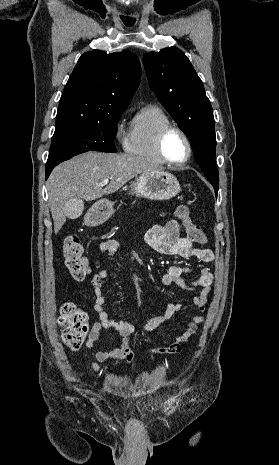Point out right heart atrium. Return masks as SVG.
<instances>
[{"instance_id":"right-heart-atrium-1","label":"right heart atrium","mask_w":279,"mask_h":465,"mask_svg":"<svg viewBox=\"0 0 279 465\" xmlns=\"http://www.w3.org/2000/svg\"><path fill=\"white\" fill-rule=\"evenodd\" d=\"M116 137H117L118 139H123V140H125V138H124V136H123V132H122L120 126H117V128H116Z\"/></svg>"}]
</instances>
